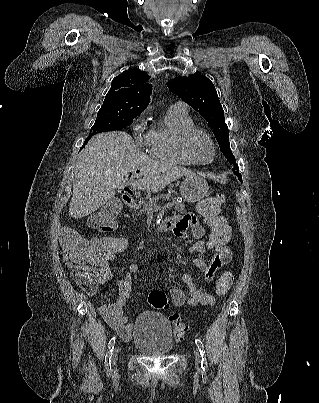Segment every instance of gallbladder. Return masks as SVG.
<instances>
[{
    "label": "gallbladder",
    "mask_w": 319,
    "mask_h": 403,
    "mask_svg": "<svg viewBox=\"0 0 319 403\" xmlns=\"http://www.w3.org/2000/svg\"><path fill=\"white\" fill-rule=\"evenodd\" d=\"M115 201H110L106 206L105 209L108 211H114Z\"/></svg>",
    "instance_id": "obj_1"
}]
</instances>
